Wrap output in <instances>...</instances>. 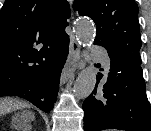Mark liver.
I'll return each instance as SVG.
<instances>
[{
  "label": "liver",
  "instance_id": "liver-1",
  "mask_svg": "<svg viewBox=\"0 0 151 131\" xmlns=\"http://www.w3.org/2000/svg\"><path fill=\"white\" fill-rule=\"evenodd\" d=\"M21 107H25L24 104L14 103L12 101H0V116L7 114L11 111L17 110Z\"/></svg>",
  "mask_w": 151,
  "mask_h": 131
}]
</instances>
